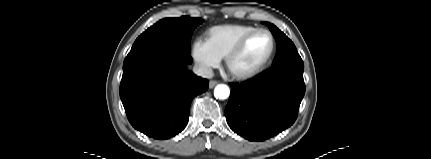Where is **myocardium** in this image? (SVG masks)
<instances>
[{"label":"myocardium","mask_w":431,"mask_h":159,"mask_svg":"<svg viewBox=\"0 0 431 159\" xmlns=\"http://www.w3.org/2000/svg\"><path fill=\"white\" fill-rule=\"evenodd\" d=\"M260 33H264L267 34L272 41V49L271 52L269 54V56L267 57V59L258 67L247 71V72H242V73H235L231 70V65L233 63V61L242 53V51L244 50V48L246 47L248 41L253 38L255 35L260 34ZM276 50H277V42L276 39L273 35V33L267 29H262V28H258L254 31L249 32L248 34H246L245 36H243L238 43L231 49V51L227 54V56L225 57V66H226V70L229 73V75L235 79V80H248L251 79L253 77H256L257 75L261 74L263 71H265L270 64L272 63L275 54H276Z\"/></svg>","instance_id":"1"}]
</instances>
